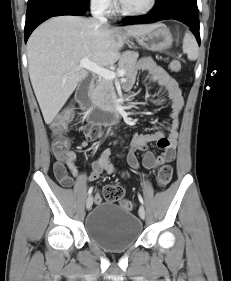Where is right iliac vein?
<instances>
[{"label": "right iliac vein", "instance_id": "right-iliac-vein-1", "mask_svg": "<svg viewBox=\"0 0 231 281\" xmlns=\"http://www.w3.org/2000/svg\"><path fill=\"white\" fill-rule=\"evenodd\" d=\"M93 204V197L90 195L86 200V207L89 210L92 207Z\"/></svg>", "mask_w": 231, "mask_h": 281}]
</instances>
